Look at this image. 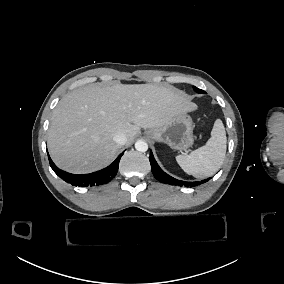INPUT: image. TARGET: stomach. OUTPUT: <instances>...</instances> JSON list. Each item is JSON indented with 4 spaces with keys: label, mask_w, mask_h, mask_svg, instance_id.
I'll list each match as a JSON object with an SVG mask.
<instances>
[{
    "label": "stomach",
    "mask_w": 284,
    "mask_h": 284,
    "mask_svg": "<svg viewBox=\"0 0 284 284\" xmlns=\"http://www.w3.org/2000/svg\"><path fill=\"white\" fill-rule=\"evenodd\" d=\"M145 135L155 142L168 145L176 152H185L194 144L193 123L190 116L180 114L167 124L150 128Z\"/></svg>",
    "instance_id": "stomach-1"
}]
</instances>
